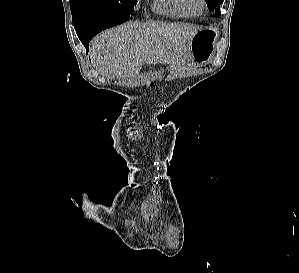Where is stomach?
<instances>
[{"instance_id":"obj_1","label":"stomach","mask_w":299,"mask_h":273,"mask_svg":"<svg viewBox=\"0 0 299 273\" xmlns=\"http://www.w3.org/2000/svg\"><path fill=\"white\" fill-rule=\"evenodd\" d=\"M218 33L213 27L198 30L191 39L190 50L193 60L206 64L210 62L215 48Z\"/></svg>"}]
</instances>
